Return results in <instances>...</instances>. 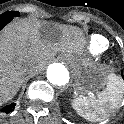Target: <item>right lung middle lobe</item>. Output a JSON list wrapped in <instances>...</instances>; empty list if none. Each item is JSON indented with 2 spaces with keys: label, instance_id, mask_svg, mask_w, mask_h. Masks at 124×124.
<instances>
[{
  "label": "right lung middle lobe",
  "instance_id": "1",
  "mask_svg": "<svg viewBox=\"0 0 124 124\" xmlns=\"http://www.w3.org/2000/svg\"><path fill=\"white\" fill-rule=\"evenodd\" d=\"M18 16H19V12L16 11H8L0 15V17H13V18Z\"/></svg>",
  "mask_w": 124,
  "mask_h": 124
}]
</instances>
